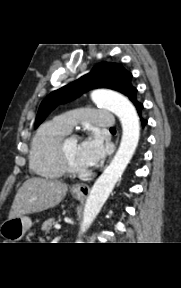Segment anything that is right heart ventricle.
<instances>
[{"label":"right heart ventricle","mask_w":181,"mask_h":288,"mask_svg":"<svg viewBox=\"0 0 181 288\" xmlns=\"http://www.w3.org/2000/svg\"><path fill=\"white\" fill-rule=\"evenodd\" d=\"M67 133L56 120L39 127L29 155L30 168L35 174L46 179H59L65 174L58 158V145Z\"/></svg>","instance_id":"1"}]
</instances>
